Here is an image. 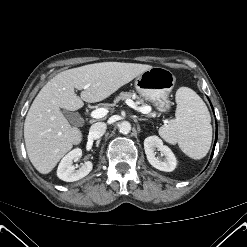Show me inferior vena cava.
I'll return each mask as SVG.
<instances>
[{
	"instance_id": "inferior-vena-cava-1",
	"label": "inferior vena cava",
	"mask_w": 247,
	"mask_h": 247,
	"mask_svg": "<svg viewBox=\"0 0 247 247\" xmlns=\"http://www.w3.org/2000/svg\"><path fill=\"white\" fill-rule=\"evenodd\" d=\"M106 128L104 122H97L90 127L89 136L93 139H99L105 133Z\"/></svg>"
}]
</instances>
